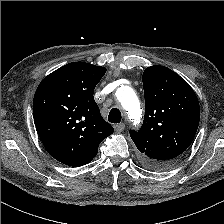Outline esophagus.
I'll return each instance as SVG.
<instances>
[{"instance_id":"obj_1","label":"esophagus","mask_w":224,"mask_h":224,"mask_svg":"<svg viewBox=\"0 0 224 224\" xmlns=\"http://www.w3.org/2000/svg\"><path fill=\"white\" fill-rule=\"evenodd\" d=\"M125 128V124L124 123H119L117 125L114 126V129L117 133H120L124 130Z\"/></svg>"}]
</instances>
